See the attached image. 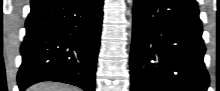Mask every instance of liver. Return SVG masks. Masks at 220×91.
<instances>
[{
	"label": "liver",
	"instance_id": "6515ba94",
	"mask_svg": "<svg viewBox=\"0 0 220 91\" xmlns=\"http://www.w3.org/2000/svg\"><path fill=\"white\" fill-rule=\"evenodd\" d=\"M27 91H79V89L54 82H43L31 86Z\"/></svg>",
	"mask_w": 220,
	"mask_h": 91
}]
</instances>
